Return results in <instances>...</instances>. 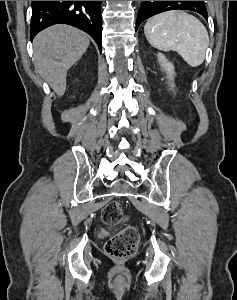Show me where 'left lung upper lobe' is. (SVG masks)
<instances>
[{"label":"left lung upper lobe","instance_id":"obj_1","mask_svg":"<svg viewBox=\"0 0 237 300\" xmlns=\"http://www.w3.org/2000/svg\"><path fill=\"white\" fill-rule=\"evenodd\" d=\"M175 9L195 11L208 20L207 9L203 1H143L137 16L136 29L151 16Z\"/></svg>","mask_w":237,"mask_h":300}]
</instances>
